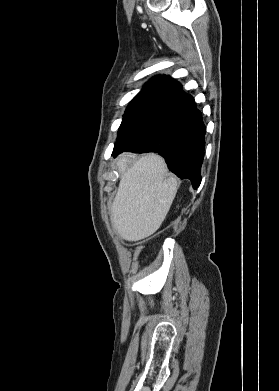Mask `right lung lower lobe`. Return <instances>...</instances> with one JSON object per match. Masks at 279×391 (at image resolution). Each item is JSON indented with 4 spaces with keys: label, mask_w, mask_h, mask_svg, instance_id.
Segmentation results:
<instances>
[{
    "label": "right lung lower lobe",
    "mask_w": 279,
    "mask_h": 391,
    "mask_svg": "<svg viewBox=\"0 0 279 391\" xmlns=\"http://www.w3.org/2000/svg\"><path fill=\"white\" fill-rule=\"evenodd\" d=\"M205 125L191 95H185L164 107L151 124L124 146L113 150L161 154L169 170L181 179H189L196 189L201 183L204 158Z\"/></svg>",
    "instance_id": "obj_1"
}]
</instances>
